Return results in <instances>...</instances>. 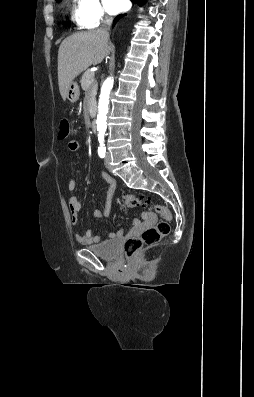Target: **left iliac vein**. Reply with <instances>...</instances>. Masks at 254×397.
Instances as JSON below:
<instances>
[{"label":"left iliac vein","instance_id":"4c4485c4","mask_svg":"<svg viewBox=\"0 0 254 397\" xmlns=\"http://www.w3.org/2000/svg\"><path fill=\"white\" fill-rule=\"evenodd\" d=\"M110 160H111L110 153L107 152L106 158H105V162H104L105 167H106L107 169H110V168H111V166H110Z\"/></svg>","mask_w":254,"mask_h":397}]
</instances>
